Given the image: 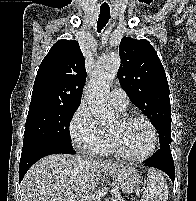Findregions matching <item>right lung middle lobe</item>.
<instances>
[{"mask_svg": "<svg viewBox=\"0 0 196 201\" xmlns=\"http://www.w3.org/2000/svg\"><path fill=\"white\" fill-rule=\"evenodd\" d=\"M78 105L31 102L25 124L23 148L37 143L72 147L69 121Z\"/></svg>", "mask_w": 196, "mask_h": 201, "instance_id": "obj_1", "label": "right lung middle lobe"}]
</instances>
